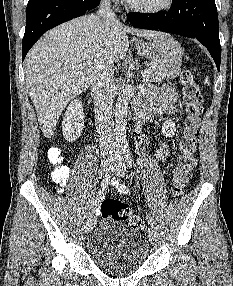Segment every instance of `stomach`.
I'll return each instance as SVG.
<instances>
[{
	"label": "stomach",
	"mask_w": 233,
	"mask_h": 286,
	"mask_svg": "<svg viewBox=\"0 0 233 286\" xmlns=\"http://www.w3.org/2000/svg\"><path fill=\"white\" fill-rule=\"evenodd\" d=\"M136 47L153 65L175 68L181 64L183 49L170 35L162 34L149 42L136 41Z\"/></svg>",
	"instance_id": "stomach-1"
}]
</instances>
